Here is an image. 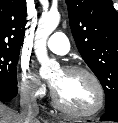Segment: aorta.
Listing matches in <instances>:
<instances>
[{"label":"aorta","instance_id":"1","mask_svg":"<svg viewBox=\"0 0 118 123\" xmlns=\"http://www.w3.org/2000/svg\"><path fill=\"white\" fill-rule=\"evenodd\" d=\"M59 22L60 14L58 12H49L44 14L38 23L35 34L34 52L41 64L39 73L42 77L50 76L52 69L57 66V63L48 57L46 42L49 35L57 28Z\"/></svg>","mask_w":118,"mask_h":123}]
</instances>
